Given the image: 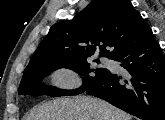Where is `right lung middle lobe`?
I'll return each mask as SVG.
<instances>
[{
	"label": "right lung middle lobe",
	"mask_w": 165,
	"mask_h": 120,
	"mask_svg": "<svg viewBox=\"0 0 165 120\" xmlns=\"http://www.w3.org/2000/svg\"><path fill=\"white\" fill-rule=\"evenodd\" d=\"M99 63V60H95ZM59 68H69L80 74H84V85L76 90H62L54 87H46L40 83L42 79ZM89 73H93L90 75ZM109 70L103 68L91 69L88 58L84 59H59L45 60L30 64L26 67L18 93L19 95H49L52 97L76 95L84 92L89 86L103 79L109 74Z\"/></svg>",
	"instance_id": "1"
}]
</instances>
